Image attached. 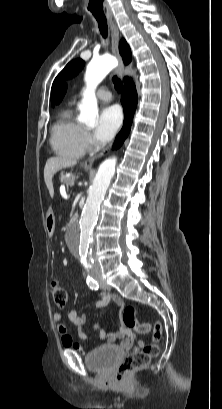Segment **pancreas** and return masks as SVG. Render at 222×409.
I'll use <instances>...</instances> for the list:
<instances>
[{
    "instance_id": "pancreas-1",
    "label": "pancreas",
    "mask_w": 222,
    "mask_h": 409,
    "mask_svg": "<svg viewBox=\"0 0 222 409\" xmlns=\"http://www.w3.org/2000/svg\"><path fill=\"white\" fill-rule=\"evenodd\" d=\"M74 181H75V177H74V176H71V177H65V176H64V177L61 178V183L65 184V185H67V186L73 184Z\"/></svg>"
}]
</instances>
